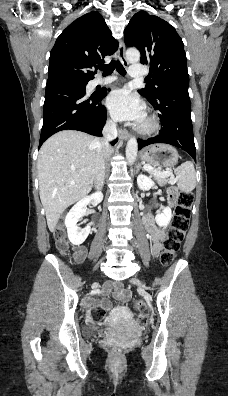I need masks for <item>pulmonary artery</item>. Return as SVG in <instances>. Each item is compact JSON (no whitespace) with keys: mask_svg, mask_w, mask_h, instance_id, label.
Masks as SVG:
<instances>
[{"mask_svg":"<svg viewBox=\"0 0 228 396\" xmlns=\"http://www.w3.org/2000/svg\"><path fill=\"white\" fill-rule=\"evenodd\" d=\"M146 74L145 70L141 66L132 65L129 69V75L132 78H142ZM115 80V77L108 78H96L94 80L95 85L108 84Z\"/></svg>","mask_w":228,"mask_h":396,"instance_id":"e3ab8cb5","label":"pulmonary artery"}]
</instances>
